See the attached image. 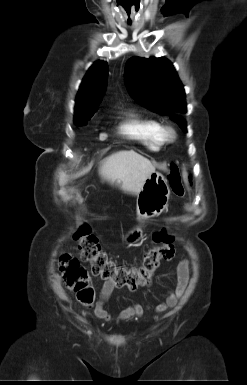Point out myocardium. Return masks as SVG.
Instances as JSON below:
<instances>
[{
    "instance_id": "1",
    "label": "myocardium",
    "mask_w": 247,
    "mask_h": 385,
    "mask_svg": "<svg viewBox=\"0 0 247 385\" xmlns=\"http://www.w3.org/2000/svg\"><path fill=\"white\" fill-rule=\"evenodd\" d=\"M160 137L164 143H171L176 138V132L171 126H162Z\"/></svg>"
}]
</instances>
